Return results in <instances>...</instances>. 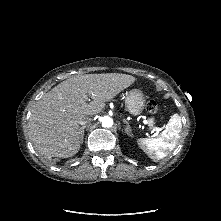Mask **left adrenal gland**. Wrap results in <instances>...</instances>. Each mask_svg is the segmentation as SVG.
<instances>
[{
    "label": "left adrenal gland",
    "mask_w": 221,
    "mask_h": 221,
    "mask_svg": "<svg viewBox=\"0 0 221 221\" xmlns=\"http://www.w3.org/2000/svg\"><path fill=\"white\" fill-rule=\"evenodd\" d=\"M123 122H124V124H126V128H125L126 133L129 136H132V129H131L129 123L125 119H123Z\"/></svg>",
    "instance_id": "a2214340"
}]
</instances>
